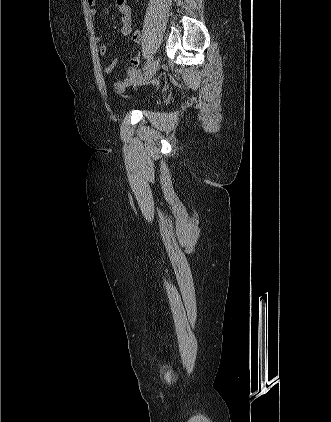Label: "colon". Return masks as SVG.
I'll use <instances>...</instances> for the list:
<instances>
[{"mask_svg":"<svg viewBox=\"0 0 331 422\" xmlns=\"http://www.w3.org/2000/svg\"><path fill=\"white\" fill-rule=\"evenodd\" d=\"M135 75H137V76H138V75H139V74H138V72H135Z\"/></svg>","mask_w":331,"mask_h":422,"instance_id":"obj_1","label":"colon"}]
</instances>
